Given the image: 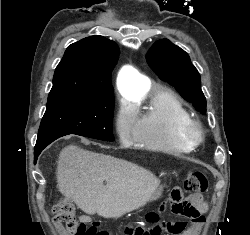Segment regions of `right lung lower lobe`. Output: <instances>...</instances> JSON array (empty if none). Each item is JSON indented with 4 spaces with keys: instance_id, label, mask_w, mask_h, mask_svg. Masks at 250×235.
Here are the masks:
<instances>
[{
    "instance_id": "98d812e1",
    "label": "right lung lower lobe",
    "mask_w": 250,
    "mask_h": 235,
    "mask_svg": "<svg viewBox=\"0 0 250 235\" xmlns=\"http://www.w3.org/2000/svg\"><path fill=\"white\" fill-rule=\"evenodd\" d=\"M65 135H68V134L64 132H53V133L44 134L42 136H38L36 146H35V151H34V155H35L34 162L36 163L39 154L47 145H49L54 140Z\"/></svg>"
}]
</instances>
